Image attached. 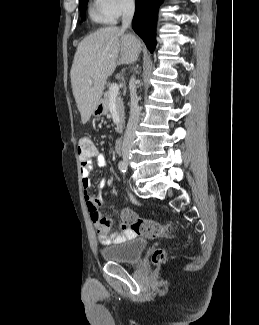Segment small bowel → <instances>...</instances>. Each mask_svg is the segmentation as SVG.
I'll return each instance as SVG.
<instances>
[{
    "label": "small bowel",
    "mask_w": 259,
    "mask_h": 325,
    "mask_svg": "<svg viewBox=\"0 0 259 325\" xmlns=\"http://www.w3.org/2000/svg\"><path fill=\"white\" fill-rule=\"evenodd\" d=\"M94 162L100 168H105L107 166L105 156L96 149L95 153L90 159L81 161L80 168L85 203L90 220L93 223L94 229L101 244L110 245L122 243L127 239L133 238L135 233L130 228L125 226L123 222L119 226L120 231L114 230V222L111 219L104 217L100 212V207L105 201L104 195L100 194L99 196L95 197L89 194L88 191L92 186L91 175L94 169ZM107 183L108 180L106 178H102L99 182V187L104 189ZM128 196L132 202L136 203V200L132 194L129 193Z\"/></svg>",
    "instance_id": "1"
}]
</instances>
